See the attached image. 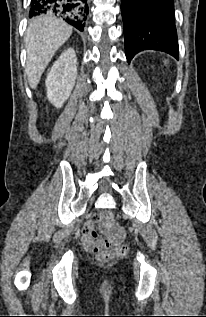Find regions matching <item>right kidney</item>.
Instances as JSON below:
<instances>
[{"mask_svg": "<svg viewBox=\"0 0 206 317\" xmlns=\"http://www.w3.org/2000/svg\"><path fill=\"white\" fill-rule=\"evenodd\" d=\"M77 58L73 48H68L53 64L46 78V94L57 108L69 98L77 77Z\"/></svg>", "mask_w": 206, "mask_h": 317, "instance_id": "obj_1", "label": "right kidney"}]
</instances>
